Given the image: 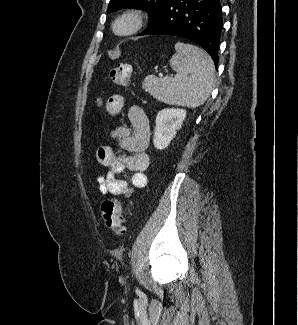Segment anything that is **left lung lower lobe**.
<instances>
[{
	"mask_svg": "<svg viewBox=\"0 0 298 325\" xmlns=\"http://www.w3.org/2000/svg\"><path fill=\"white\" fill-rule=\"evenodd\" d=\"M223 27L219 0H169L139 35H173L189 39L218 64Z\"/></svg>",
	"mask_w": 298,
	"mask_h": 325,
	"instance_id": "1",
	"label": "left lung lower lobe"
}]
</instances>
